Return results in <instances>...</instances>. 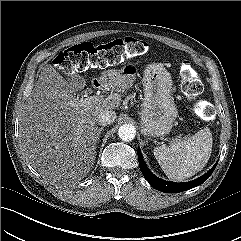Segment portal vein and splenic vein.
<instances>
[{"instance_id":"portal-vein-and-splenic-vein-1","label":"portal vein and splenic vein","mask_w":241,"mask_h":241,"mask_svg":"<svg viewBox=\"0 0 241 241\" xmlns=\"http://www.w3.org/2000/svg\"><path fill=\"white\" fill-rule=\"evenodd\" d=\"M85 101H97V102H101L103 100L102 96H90L84 99Z\"/></svg>"}]
</instances>
